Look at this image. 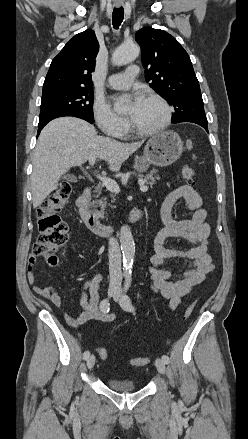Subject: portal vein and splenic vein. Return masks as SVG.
<instances>
[{
    "instance_id": "obj_1",
    "label": "portal vein and splenic vein",
    "mask_w": 248,
    "mask_h": 439,
    "mask_svg": "<svg viewBox=\"0 0 248 439\" xmlns=\"http://www.w3.org/2000/svg\"><path fill=\"white\" fill-rule=\"evenodd\" d=\"M95 161H96V159L91 158V159H89V164L91 166H93L95 164ZM96 176L110 192H112V193H119L120 192L119 185L116 183V181H114L111 178L101 176L99 174ZM139 184H140V190L142 192H147L148 187L144 185V182L140 181Z\"/></svg>"
}]
</instances>
